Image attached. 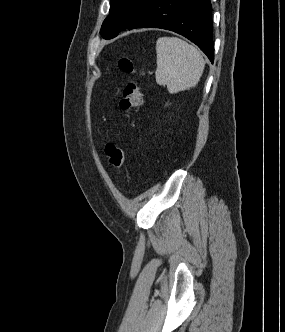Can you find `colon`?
Segmentation results:
<instances>
[{"mask_svg": "<svg viewBox=\"0 0 285 332\" xmlns=\"http://www.w3.org/2000/svg\"><path fill=\"white\" fill-rule=\"evenodd\" d=\"M118 65L122 72L134 76L124 88L120 99V108L122 111L125 114H131L137 111L143 102L141 81L137 77V69L132 59L122 57ZM105 155L112 170L117 171L121 169L125 162V155L120 148L114 144H108L105 147Z\"/></svg>", "mask_w": 285, "mask_h": 332, "instance_id": "colon-1", "label": "colon"}]
</instances>
